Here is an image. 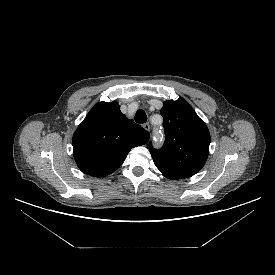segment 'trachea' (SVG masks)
<instances>
[{
	"mask_svg": "<svg viewBox=\"0 0 275 275\" xmlns=\"http://www.w3.org/2000/svg\"><path fill=\"white\" fill-rule=\"evenodd\" d=\"M147 121V115L144 110H138L135 114V122L143 124Z\"/></svg>",
	"mask_w": 275,
	"mask_h": 275,
	"instance_id": "obj_1",
	"label": "trachea"
}]
</instances>
